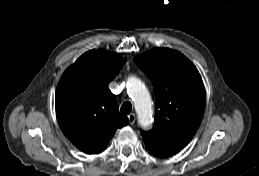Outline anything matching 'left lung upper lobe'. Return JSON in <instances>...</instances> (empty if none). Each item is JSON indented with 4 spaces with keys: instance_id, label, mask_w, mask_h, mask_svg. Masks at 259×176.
Masks as SVG:
<instances>
[{
    "instance_id": "1",
    "label": "left lung upper lobe",
    "mask_w": 259,
    "mask_h": 176,
    "mask_svg": "<svg viewBox=\"0 0 259 176\" xmlns=\"http://www.w3.org/2000/svg\"><path fill=\"white\" fill-rule=\"evenodd\" d=\"M134 61L151 79L156 95L153 129L141 131L146 148L157 157L172 156L192 139L203 118L202 78L176 50L154 48Z\"/></svg>"
}]
</instances>
